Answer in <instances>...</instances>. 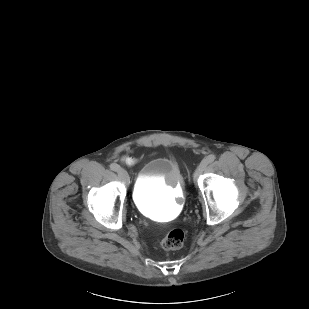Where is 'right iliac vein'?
<instances>
[{
  "instance_id": "1",
  "label": "right iliac vein",
  "mask_w": 309,
  "mask_h": 309,
  "mask_svg": "<svg viewBox=\"0 0 309 309\" xmlns=\"http://www.w3.org/2000/svg\"><path fill=\"white\" fill-rule=\"evenodd\" d=\"M117 172H118L119 178H120L123 182H128L129 176H128V173L126 172V170H124L123 168H119Z\"/></svg>"
}]
</instances>
